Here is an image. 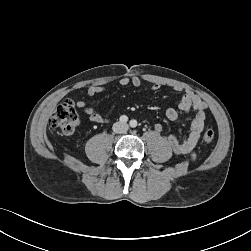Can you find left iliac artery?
I'll list each match as a JSON object with an SVG mask.
<instances>
[{"mask_svg": "<svg viewBox=\"0 0 251 251\" xmlns=\"http://www.w3.org/2000/svg\"><path fill=\"white\" fill-rule=\"evenodd\" d=\"M129 124H130V126H131L132 128H135V127L137 126V121L133 119V120L130 121Z\"/></svg>", "mask_w": 251, "mask_h": 251, "instance_id": "obj_1", "label": "left iliac artery"}]
</instances>
